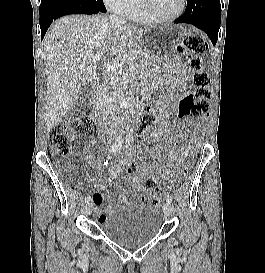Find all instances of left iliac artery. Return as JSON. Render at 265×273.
<instances>
[{
	"label": "left iliac artery",
	"instance_id": "44dca946",
	"mask_svg": "<svg viewBox=\"0 0 265 273\" xmlns=\"http://www.w3.org/2000/svg\"><path fill=\"white\" fill-rule=\"evenodd\" d=\"M165 200H166V202L171 203L172 202V197L169 196V195H166Z\"/></svg>",
	"mask_w": 265,
	"mask_h": 273
}]
</instances>
